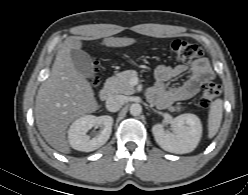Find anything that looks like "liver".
Segmentation results:
<instances>
[{
  "instance_id": "1",
  "label": "liver",
  "mask_w": 248,
  "mask_h": 195,
  "mask_svg": "<svg viewBox=\"0 0 248 195\" xmlns=\"http://www.w3.org/2000/svg\"><path fill=\"white\" fill-rule=\"evenodd\" d=\"M134 38L109 37L103 39L107 47H125ZM80 37L67 38L57 51L49 77L41 84L35 102L38 130L46 142L61 153H70L66 137L69 124L76 118L97 109L93 89L72 62L70 51L80 49Z\"/></svg>"
}]
</instances>
